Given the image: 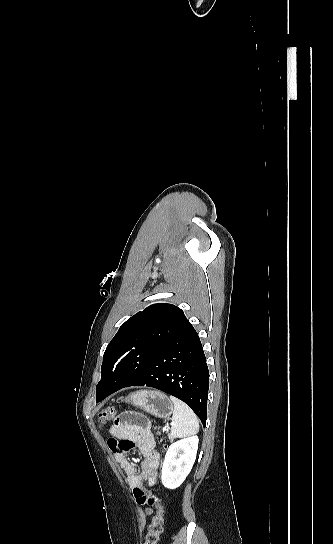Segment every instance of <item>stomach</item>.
Returning a JSON list of instances; mask_svg holds the SVG:
<instances>
[{"instance_id": "0dacf381", "label": "stomach", "mask_w": 333, "mask_h": 544, "mask_svg": "<svg viewBox=\"0 0 333 544\" xmlns=\"http://www.w3.org/2000/svg\"><path fill=\"white\" fill-rule=\"evenodd\" d=\"M125 401L159 418H169L174 410L170 398L154 390L134 392Z\"/></svg>"}]
</instances>
